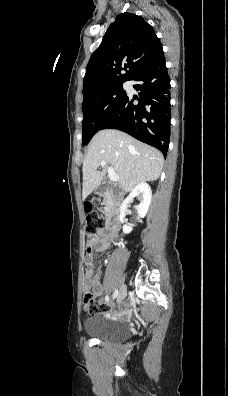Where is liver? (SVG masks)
<instances>
[{
	"label": "liver",
	"instance_id": "liver-1",
	"mask_svg": "<svg viewBox=\"0 0 228 396\" xmlns=\"http://www.w3.org/2000/svg\"><path fill=\"white\" fill-rule=\"evenodd\" d=\"M102 161L105 166L100 172L97 168ZM163 163L159 150L119 130H101L92 138L83 162V200L100 185L109 165L127 193L141 182L157 180Z\"/></svg>",
	"mask_w": 228,
	"mask_h": 396
}]
</instances>
